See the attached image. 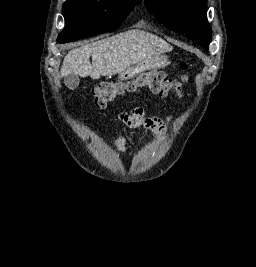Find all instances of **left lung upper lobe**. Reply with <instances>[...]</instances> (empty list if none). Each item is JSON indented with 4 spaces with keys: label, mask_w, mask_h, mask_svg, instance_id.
Returning a JSON list of instances; mask_svg holds the SVG:
<instances>
[{
    "label": "left lung upper lobe",
    "mask_w": 256,
    "mask_h": 267,
    "mask_svg": "<svg viewBox=\"0 0 256 267\" xmlns=\"http://www.w3.org/2000/svg\"><path fill=\"white\" fill-rule=\"evenodd\" d=\"M147 10L164 25L208 50L211 40L206 0H145Z\"/></svg>",
    "instance_id": "1"
}]
</instances>
